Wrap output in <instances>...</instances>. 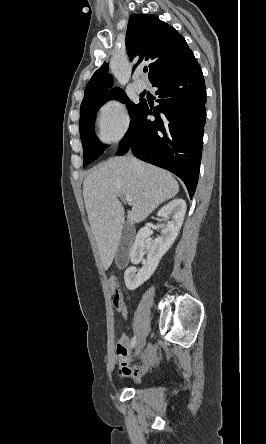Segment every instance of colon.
Segmentation results:
<instances>
[{
  "label": "colon",
  "mask_w": 266,
  "mask_h": 444,
  "mask_svg": "<svg viewBox=\"0 0 266 444\" xmlns=\"http://www.w3.org/2000/svg\"><path fill=\"white\" fill-rule=\"evenodd\" d=\"M113 304L117 309H119L120 307H122L124 305L123 296H122L120 290H118V289H115L114 297H113Z\"/></svg>",
  "instance_id": "1"
}]
</instances>
